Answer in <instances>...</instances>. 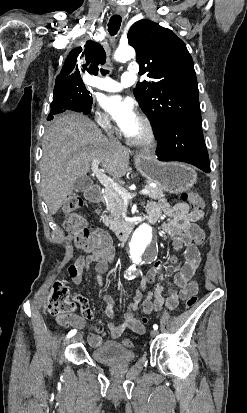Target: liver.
<instances>
[{
    "mask_svg": "<svg viewBox=\"0 0 247 413\" xmlns=\"http://www.w3.org/2000/svg\"><path fill=\"white\" fill-rule=\"evenodd\" d=\"M41 190L50 211L55 215L74 190L78 176L90 170L93 158L113 178L129 170V150L121 142H111L97 124L77 112H64L51 120L42 142Z\"/></svg>",
    "mask_w": 247,
    "mask_h": 413,
    "instance_id": "obj_1",
    "label": "liver"
}]
</instances>
